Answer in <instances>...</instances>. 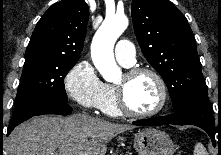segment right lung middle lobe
<instances>
[{
  "label": "right lung middle lobe",
  "mask_w": 221,
  "mask_h": 155,
  "mask_svg": "<svg viewBox=\"0 0 221 155\" xmlns=\"http://www.w3.org/2000/svg\"><path fill=\"white\" fill-rule=\"evenodd\" d=\"M77 61L25 58L13 116L41 101L67 102L64 78Z\"/></svg>",
  "instance_id": "1"
}]
</instances>
